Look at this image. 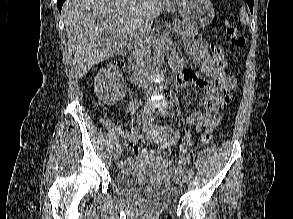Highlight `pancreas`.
Returning <instances> with one entry per match:
<instances>
[{"mask_svg":"<svg viewBox=\"0 0 293 219\" xmlns=\"http://www.w3.org/2000/svg\"><path fill=\"white\" fill-rule=\"evenodd\" d=\"M175 31L182 37H194L198 34L197 29L186 21L176 20Z\"/></svg>","mask_w":293,"mask_h":219,"instance_id":"cf45deb5","label":"pancreas"}]
</instances>
